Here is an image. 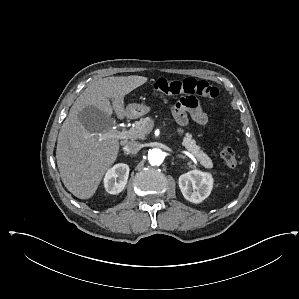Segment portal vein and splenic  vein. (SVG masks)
I'll return each mask as SVG.
<instances>
[{
  "instance_id": "18ae733b",
  "label": "portal vein and splenic vein",
  "mask_w": 299,
  "mask_h": 299,
  "mask_svg": "<svg viewBox=\"0 0 299 299\" xmlns=\"http://www.w3.org/2000/svg\"><path fill=\"white\" fill-rule=\"evenodd\" d=\"M135 133L134 129H130L127 131H118V130H109L108 132L105 133H100L97 134L99 140H105V139H110V138H117V139H128L132 138Z\"/></svg>"
}]
</instances>
